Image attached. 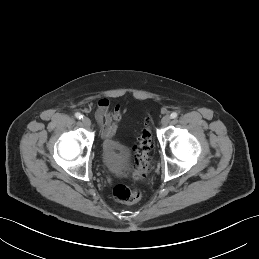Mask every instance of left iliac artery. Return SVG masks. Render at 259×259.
Returning a JSON list of instances; mask_svg holds the SVG:
<instances>
[{"mask_svg":"<svg viewBox=\"0 0 259 259\" xmlns=\"http://www.w3.org/2000/svg\"><path fill=\"white\" fill-rule=\"evenodd\" d=\"M177 116H178V114H177L176 112H172L171 115H170V117H171L172 119L177 118Z\"/></svg>","mask_w":259,"mask_h":259,"instance_id":"1","label":"left iliac artery"}]
</instances>
